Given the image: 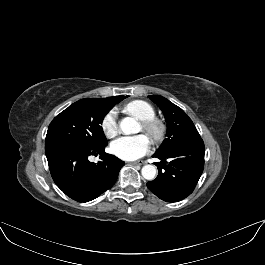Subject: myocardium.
<instances>
[{"instance_id": "obj_1", "label": "myocardium", "mask_w": 265, "mask_h": 265, "mask_svg": "<svg viewBox=\"0 0 265 265\" xmlns=\"http://www.w3.org/2000/svg\"><path fill=\"white\" fill-rule=\"evenodd\" d=\"M142 128L154 141H159L164 133L163 124L155 118L143 121Z\"/></svg>"}]
</instances>
